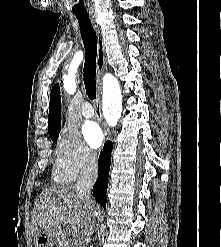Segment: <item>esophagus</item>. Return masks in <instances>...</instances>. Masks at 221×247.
<instances>
[{
	"label": "esophagus",
	"instance_id": "1",
	"mask_svg": "<svg viewBox=\"0 0 221 247\" xmlns=\"http://www.w3.org/2000/svg\"><path fill=\"white\" fill-rule=\"evenodd\" d=\"M91 22L97 38V106L96 108H97L98 118L101 121L102 120L101 103H100L101 75L106 67L107 58L105 54V46H104V41H103L102 31L100 29V26L98 25L94 17H91ZM103 127L105 129V135L111 137L110 131L104 123H103Z\"/></svg>",
	"mask_w": 221,
	"mask_h": 247
}]
</instances>
